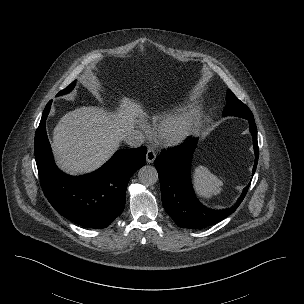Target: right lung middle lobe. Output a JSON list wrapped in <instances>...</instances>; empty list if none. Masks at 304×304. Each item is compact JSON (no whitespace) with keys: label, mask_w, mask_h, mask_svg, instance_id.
Wrapping results in <instances>:
<instances>
[{"label":"right lung middle lobe","mask_w":304,"mask_h":304,"mask_svg":"<svg viewBox=\"0 0 304 304\" xmlns=\"http://www.w3.org/2000/svg\"><path fill=\"white\" fill-rule=\"evenodd\" d=\"M75 86V82H73L70 86H68L66 89L62 90L61 92L58 93V95L66 94L70 92Z\"/></svg>","instance_id":"1"}]
</instances>
